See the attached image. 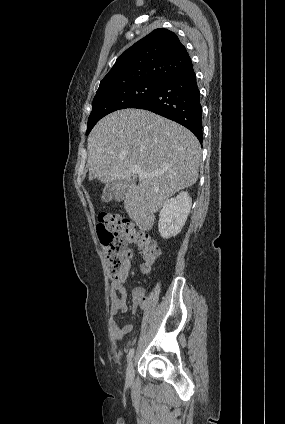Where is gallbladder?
<instances>
[{"label": "gallbladder", "instance_id": "bac80fb5", "mask_svg": "<svg viewBox=\"0 0 285 424\" xmlns=\"http://www.w3.org/2000/svg\"><path fill=\"white\" fill-rule=\"evenodd\" d=\"M128 184L124 180H114L108 183L103 190L102 201L105 203L112 201L120 192H123L127 188Z\"/></svg>", "mask_w": 285, "mask_h": 424}]
</instances>
